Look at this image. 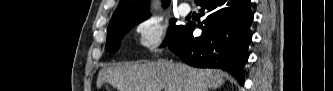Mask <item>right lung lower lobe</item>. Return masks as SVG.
<instances>
[{
  "label": "right lung lower lobe",
  "instance_id": "1",
  "mask_svg": "<svg viewBox=\"0 0 333 91\" xmlns=\"http://www.w3.org/2000/svg\"><path fill=\"white\" fill-rule=\"evenodd\" d=\"M206 15L202 24L189 22L171 41L170 49L187 64L200 68H222L242 85L243 67L248 59V45L253 20L250 0H200ZM200 28L202 34L192 32Z\"/></svg>",
  "mask_w": 333,
  "mask_h": 91
}]
</instances>
